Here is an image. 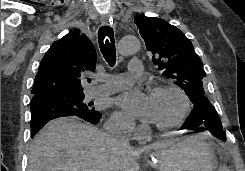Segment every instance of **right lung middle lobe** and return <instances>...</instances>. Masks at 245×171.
I'll return each mask as SVG.
<instances>
[{"mask_svg": "<svg viewBox=\"0 0 245 171\" xmlns=\"http://www.w3.org/2000/svg\"><path fill=\"white\" fill-rule=\"evenodd\" d=\"M62 98L67 99V101H69L76 108H82L83 111L88 114L97 112L93 107H91V105L83 102L84 94L75 96H62Z\"/></svg>", "mask_w": 245, "mask_h": 171, "instance_id": "dd1d6c3e", "label": "right lung middle lobe"}]
</instances>
